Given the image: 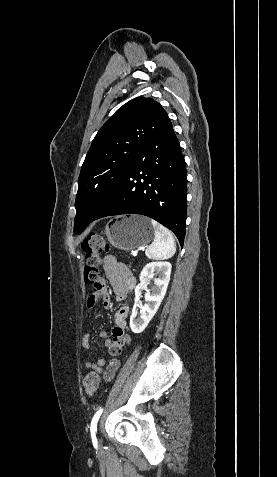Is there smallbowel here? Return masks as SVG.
I'll use <instances>...</instances> for the list:
<instances>
[{"instance_id":"small-bowel-1","label":"small bowel","mask_w":277,"mask_h":477,"mask_svg":"<svg viewBox=\"0 0 277 477\" xmlns=\"http://www.w3.org/2000/svg\"><path fill=\"white\" fill-rule=\"evenodd\" d=\"M103 268L109 283L112 286L118 301H125L128 294L134 289L136 281L129 268L118 262L113 256H106L103 260ZM100 292L103 299V305L109 307L111 297L107 289L106 283L101 282ZM98 301V295H91L87 300V306L92 308ZM129 308L121 306L115 313V325L112 329V337L110 338L106 331L100 332V337L105 341L109 353L113 356L108 364L104 359H98L96 362L86 360L84 365L86 368L92 369L97 374H102L105 381L109 382L115 376L120 367V362L116 356L120 355L123 348L130 344V336L126 332L127 317ZM82 346L89 349V334L85 333L82 338Z\"/></svg>"}]
</instances>
